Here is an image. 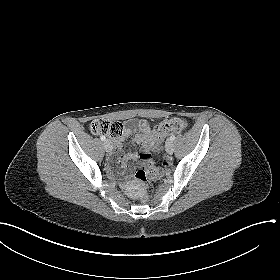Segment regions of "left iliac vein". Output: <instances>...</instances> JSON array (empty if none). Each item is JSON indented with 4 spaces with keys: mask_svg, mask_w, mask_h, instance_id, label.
<instances>
[{
    "mask_svg": "<svg viewBox=\"0 0 280 280\" xmlns=\"http://www.w3.org/2000/svg\"><path fill=\"white\" fill-rule=\"evenodd\" d=\"M166 151L168 154H173L174 152V144L171 140L166 143Z\"/></svg>",
    "mask_w": 280,
    "mask_h": 280,
    "instance_id": "4c4485c4",
    "label": "left iliac vein"
}]
</instances>
